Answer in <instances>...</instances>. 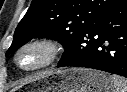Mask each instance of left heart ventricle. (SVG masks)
<instances>
[{
    "label": "left heart ventricle",
    "mask_w": 127,
    "mask_h": 92,
    "mask_svg": "<svg viewBox=\"0 0 127 92\" xmlns=\"http://www.w3.org/2000/svg\"><path fill=\"white\" fill-rule=\"evenodd\" d=\"M44 58V53L40 49H30L24 53L19 58V61L23 67H32Z\"/></svg>",
    "instance_id": "b2bd125f"
}]
</instances>
